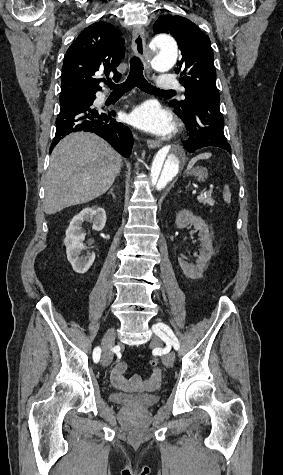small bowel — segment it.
Returning <instances> with one entry per match:
<instances>
[{"label":"small bowel","instance_id":"small-bowel-1","mask_svg":"<svg viewBox=\"0 0 283 475\" xmlns=\"http://www.w3.org/2000/svg\"><path fill=\"white\" fill-rule=\"evenodd\" d=\"M127 370V364L124 361L117 362L111 370L110 381L111 384L119 390L128 391L131 385H136L139 382V374L135 373L129 379L125 377ZM162 377L160 368H155L148 381L152 385H157Z\"/></svg>","mask_w":283,"mask_h":475}]
</instances>
